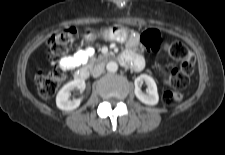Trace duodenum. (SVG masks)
<instances>
[{"label":"duodenum","mask_w":225,"mask_h":155,"mask_svg":"<svg viewBox=\"0 0 225 155\" xmlns=\"http://www.w3.org/2000/svg\"><path fill=\"white\" fill-rule=\"evenodd\" d=\"M120 61L125 65H132L133 67L136 66L134 62H131L129 59L122 56L120 57ZM88 75H89V71L87 68H80L75 72V79L79 81L85 80L87 79Z\"/></svg>","instance_id":"obj_1"}]
</instances>
